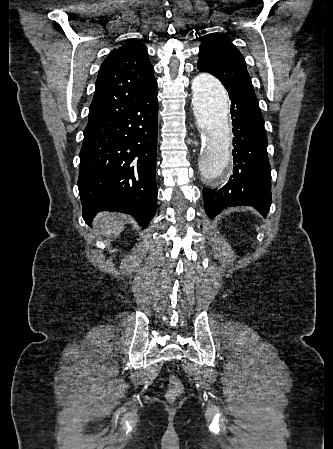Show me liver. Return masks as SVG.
Returning <instances> with one entry per match:
<instances>
[{"mask_svg":"<svg viewBox=\"0 0 333 449\" xmlns=\"http://www.w3.org/2000/svg\"><path fill=\"white\" fill-rule=\"evenodd\" d=\"M94 223L104 236L112 237L119 236L125 225L124 221H118L116 215L109 212L99 213Z\"/></svg>","mask_w":333,"mask_h":449,"instance_id":"obj_1","label":"liver"}]
</instances>
